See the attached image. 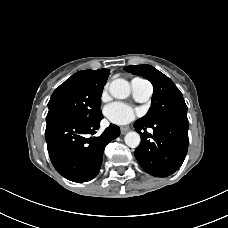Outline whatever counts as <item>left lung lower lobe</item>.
I'll return each instance as SVG.
<instances>
[{"mask_svg": "<svg viewBox=\"0 0 228 228\" xmlns=\"http://www.w3.org/2000/svg\"><path fill=\"white\" fill-rule=\"evenodd\" d=\"M134 127L141 136L135 157L144 171L166 177L180 168L188 150L187 110L173 112L153 123L137 120ZM148 127L153 129V134L147 133Z\"/></svg>", "mask_w": 228, "mask_h": 228, "instance_id": "obj_1", "label": "left lung lower lobe"}]
</instances>
